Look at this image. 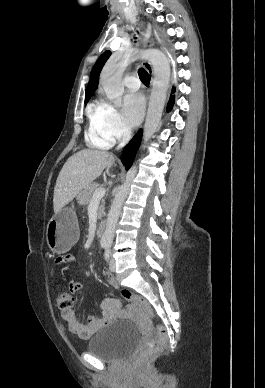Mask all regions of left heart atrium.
Wrapping results in <instances>:
<instances>
[{
  "mask_svg": "<svg viewBox=\"0 0 265 388\" xmlns=\"http://www.w3.org/2000/svg\"><path fill=\"white\" fill-rule=\"evenodd\" d=\"M144 99L140 92L128 94L123 100V117L132 125L140 122L144 113Z\"/></svg>",
  "mask_w": 265,
  "mask_h": 388,
  "instance_id": "left-heart-atrium-1",
  "label": "left heart atrium"
}]
</instances>
